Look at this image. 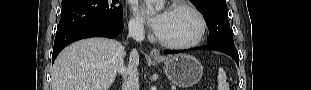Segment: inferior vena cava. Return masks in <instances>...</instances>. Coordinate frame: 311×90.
I'll list each match as a JSON object with an SVG mask.
<instances>
[{
    "instance_id": "1",
    "label": "inferior vena cava",
    "mask_w": 311,
    "mask_h": 90,
    "mask_svg": "<svg viewBox=\"0 0 311 90\" xmlns=\"http://www.w3.org/2000/svg\"><path fill=\"white\" fill-rule=\"evenodd\" d=\"M128 37L133 38L137 42H141L144 40V28L141 23L137 22H131L128 25ZM135 50L133 48H130L128 50V53L125 55V58L128 60L127 64L128 67L122 68L121 73L125 74L127 76V87L130 90H137L139 89V75H138V70H137V64L136 61L132 58L134 55ZM132 58V59H131Z\"/></svg>"
}]
</instances>
